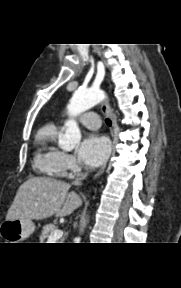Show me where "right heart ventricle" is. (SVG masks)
I'll return each instance as SVG.
<instances>
[{"label": "right heart ventricle", "mask_w": 181, "mask_h": 288, "mask_svg": "<svg viewBox=\"0 0 181 288\" xmlns=\"http://www.w3.org/2000/svg\"><path fill=\"white\" fill-rule=\"evenodd\" d=\"M57 135L58 127L52 123L40 128L36 135L34 166L49 176H58L63 164L64 153L56 144Z\"/></svg>", "instance_id": "right-heart-ventricle-1"}]
</instances>
